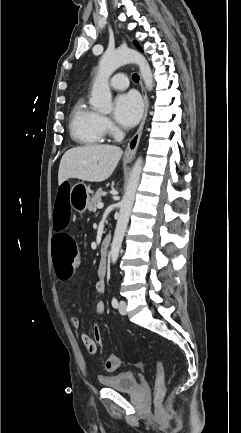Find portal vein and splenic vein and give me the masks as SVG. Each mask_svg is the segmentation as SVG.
<instances>
[{"mask_svg":"<svg viewBox=\"0 0 241 433\" xmlns=\"http://www.w3.org/2000/svg\"><path fill=\"white\" fill-rule=\"evenodd\" d=\"M103 206H104V204H103L102 202H99V203L97 204V208H98V209H102Z\"/></svg>","mask_w":241,"mask_h":433,"instance_id":"1","label":"portal vein and splenic vein"}]
</instances>
